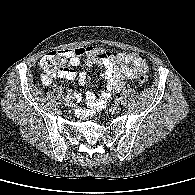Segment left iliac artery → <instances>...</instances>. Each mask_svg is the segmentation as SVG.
I'll use <instances>...</instances> for the list:
<instances>
[{
	"mask_svg": "<svg viewBox=\"0 0 195 195\" xmlns=\"http://www.w3.org/2000/svg\"><path fill=\"white\" fill-rule=\"evenodd\" d=\"M120 101H121V98H117V99H116V102H120Z\"/></svg>",
	"mask_w": 195,
	"mask_h": 195,
	"instance_id": "1",
	"label": "left iliac artery"
}]
</instances>
